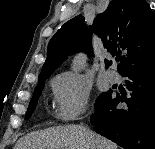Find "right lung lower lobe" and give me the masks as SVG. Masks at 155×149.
Wrapping results in <instances>:
<instances>
[{
    "label": "right lung lower lobe",
    "mask_w": 155,
    "mask_h": 149,
    "mask_svg": "<svg viewBox=\"0 0 155 149\" xmlns=\"http://www.w3.org/2000/svg\"><path fill=\"white\" fill-rule=\"evenodd\" d=\"M121 75L130 79V97L99 103L91 124L97 133L125 149H155V64L133 67ZM119 102L126 106L115 109Z\"/></svg>",
    "instance_id": "right-lung-lower-lobe-1"
}]
</instances>
